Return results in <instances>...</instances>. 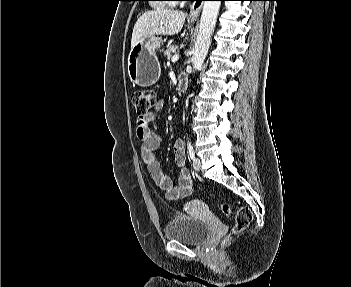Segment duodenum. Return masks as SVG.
<instances>
[{
  "mask_svg": "<svg viewBox=\"0 0 351 287\" xmlns=\"http://www.w3.org/2000/svg\"><path fill=\"white\" fill-rule=\"evenodd\" d=\"M178 88H179V92L182 93L185 88H186V85H185V81L184 79H179V84H178Z\"/></svg>",
  "mask_w": 351,
  "mask_h": 287,
  "instance_id": "duodenum-1",
  "label": "duodenum"
}]
</instances>
